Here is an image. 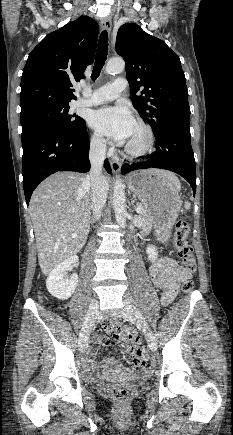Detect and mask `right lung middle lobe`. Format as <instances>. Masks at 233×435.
Wrapping results in <instances>:
<instances>
[{
    "label": "right lung middle lobe",
    "mask_w": 233,
    "mask_h": 435,
    "mask_svg": "<svg viewBox=\"0 0 233 435\" xmlns=\"http://www.w3.org/2000/svg\"><path fill=\"white\" fill-rule=\"evenodd\" d=\"M68 111V105H61L42 108L20 116L22 137L48 128L76 133L85 125V121L81 117L70 115Z\"/></svg>",
    "instance_id": "right-lung-middle-lobe-1"
}]
</instances>
